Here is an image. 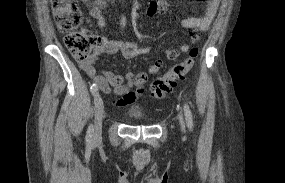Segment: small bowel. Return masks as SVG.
Returning a JSON list of instances; mask_svg holds the SVG:
<instances>
[{
	"instance_id": "small-bowel-1",
	"label": "small bowel",
	"mask_w": 285,
	"mask_h": 183,
	"mask_svg": "<svg viewBox=\"0 0 285 183\" xmlns=\"http://www.w3.org/2000/svg\"><path fill=\"white\" fill-rule=\"evenodd\" d=\"M114 0H82L88 8L90 15L96 20L100 29L107 26V17L104 10L107 9ZM204 9L200 16H189L183 19L182 26L189 29L187 41L177 48L166 49L165 56L169 60L177 59L182 53H186L195 45L202 32H205L212 23L219 5V0H202ZM167 0H152L147 9L150 16L164 14L168 9ZM126 27L124 17L120 18L119 29L123 31ZM150 51L147 44L132 42L127 40H113L102 36L101 43L95 48L92 56L80 63L82 70L87 76L94 80L100 90L106 94H114L117 98L113 101L116 106H124L135 102L145 92L144 84L148 80V75L158 73L164 66L162 59L155 60L148 68V71L126 72L124 74L105 70L98 71L94 65L97 58L105 54L120 53L126 60H133L137 56Z\"/></svg>"
}]
</instances>
